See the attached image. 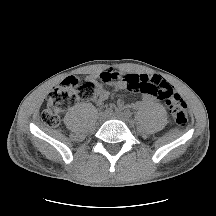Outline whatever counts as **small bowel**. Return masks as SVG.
Wrapping results in <instances>:
<instances>
[{
  "label": "small bowel",
  "instance_id": "small-bowel-1",
  "mask_svg": "<svg viewBox=\"0 0 216 216\" xmlns=\"http://www.w3.org/2000/svg\"><path fill=\"white\" fill-rule=\"evenodd\" d=\"M99 78L109 83L113 91H122V90H131V84L133 81H137L139 83H147V84H158L159 82H166L161 77L157 75H148V74H134V73H122L115 72L113 70L104 71L99 74ZM141 92V91H140ZM110 96V91L105 89L104 87H98L96 93L93 96V101L97 104H103ZM159 98L150 92H142V103H150L154 99ZM141 104H133L131 107L138 108ZM126 107L125 102L122 99H119L116 103V108L122 109Z\"/></svg>",
  "mask_w": 216,
  "mask_h": 216
}]
</instances>
